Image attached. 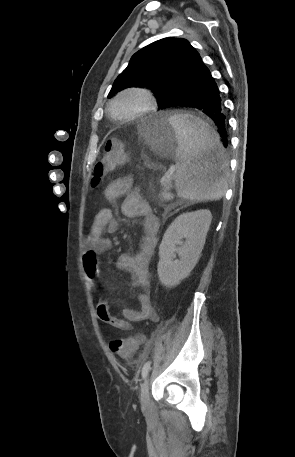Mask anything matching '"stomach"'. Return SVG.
<instances>
[{"instance_id": "1", "label": "stomach", "mask_w": 295, "mask_h": 457, "mask_svg": "<svg viewBox=\"0 0 295 457\" xmlns=\"http://www.w3.org/2000/svg\"><path fill=\"white\" fill-rule=\"evenodd\" d=\"M140 133L154 149L175 147L178 144L176 131L169 117L164 115L147 117L140 126Z\"/></svg>"}]
</instances>
